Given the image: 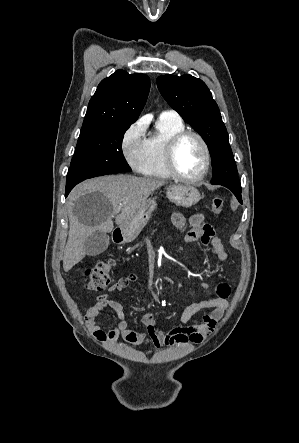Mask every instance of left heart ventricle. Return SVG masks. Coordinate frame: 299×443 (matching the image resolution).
Masks as SVG:
<instances>
[{
	"label": "left heart ventricle",
	"instance_id": "1",
	"mask_svg": "<svg viewBox=\"0 0 299 443\" xmlns=\"http://www.w3.org/2000/svg\"><path fill=\"white\" fill-rule=\"evenodd\" d=\"M176 165L179 171L188 177L201 173L204 166V151L195 137L185 138L176 151Z\"/></svg>",
	"mask_w": 299,
	"mask_h": 443
}]
</instances>
